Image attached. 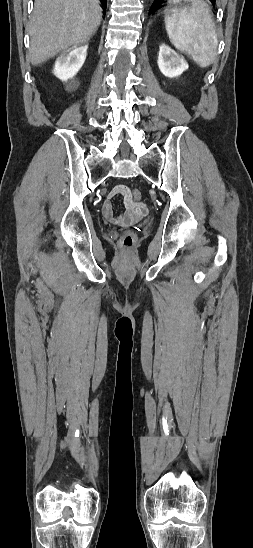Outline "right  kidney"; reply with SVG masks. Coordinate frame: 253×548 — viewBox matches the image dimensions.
<instances>
[{
    "instance_id": "right-kidney-1",
    "label": "right kidney",
    "mask_w": 253,
    "mask_h": 548,
    "mask_svg": "<svg viewBox=\"0 0 253 548\" xmlns=\"http://www.w3.org/2000/svg\"><path fill=\"white\" fill-rule=\"evenodd\" d=\"M88 45L74 46L66 51H63L56 59L53 69L54 75L62 81L73 79L80 68L83 66ZM77 83L72 81L67 85V90H74Z\"/></svg>"
}]
</instances>
